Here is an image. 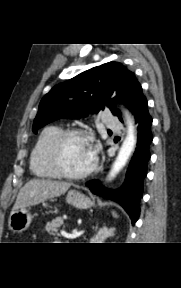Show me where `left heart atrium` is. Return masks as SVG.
<instances>
[{"label":"left heart atrium","mask_w":181,"mask_h":288,"mask_svg":"<svg viewBox=\"0 0 181 288\" xmlns=\"http://www.w3.org/2000/svg\"><path fill=\"white\" fill-rule=\"evenodd\" d=\"M92 156H93V151L91 150Z\"/></svg>","instance_id":"left-heart-atrium-1"}]
</instances>
